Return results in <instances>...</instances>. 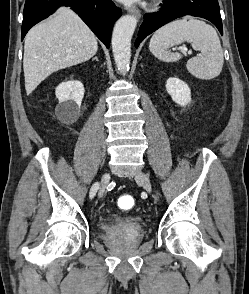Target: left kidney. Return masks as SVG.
<instances>
[{
    "mask_svg": "<svg viewBox=\"0 0 249 294\" xmlns=\"http://www.w3.org/2000/svg\"><path fill=\"white\" fill-rule=\"evenodd\" d=\"M167 93L172 100L180 106H186L191 102V91L188 85L175 77H170L166 82Z\"/></svg>",
    "mask_w": 249,
    "mask_h": 294,
    "instance_id": "5707ae66",
    "label": "left kidney"
}]
</instances>
